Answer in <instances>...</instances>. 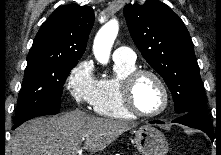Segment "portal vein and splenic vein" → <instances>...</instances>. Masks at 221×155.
<instances>
[{"label": "portal vein and splenic vein", "mask_w": 221, "mask_h": 155, "mask_svg": "<svg viewBox=\"0 0 221 155\" xmlns=\"http://www.w3.org/2000/svg\"><path fill=\"white\" fill-rule=\"evenodd\" d=\"M78 152H79V148H75L71 155H77Z\"/></svg>", "instance_id": "portal-vein-and-splenic-vein-1"}]
</instances>
